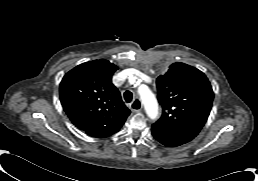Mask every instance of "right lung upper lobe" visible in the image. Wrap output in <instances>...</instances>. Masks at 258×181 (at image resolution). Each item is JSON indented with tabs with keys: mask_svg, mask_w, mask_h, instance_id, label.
Segmentation results:
<instances>
[{
	"mask_svg": "<svg viewBox=\"0 0 258 181\" xmlns=\"http://www.w3.org/2000/svg\"><path fill=\"white\" fill-rule=\"evenodd\" d=\"M117 69L107 60H95L73 68L60 83V99L66 114L89 135L122 126L130 114L111 81Z\"/></svg>",
	"mask_w": 258,
	"mask_h": 181,
	"instance_id": "right-lung-upper-lobe-1",
	"label": "right lung upper lobe"
}]
</instances>
